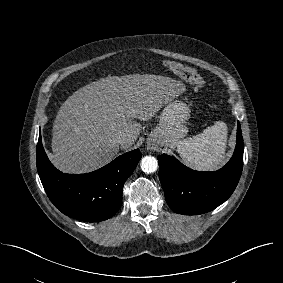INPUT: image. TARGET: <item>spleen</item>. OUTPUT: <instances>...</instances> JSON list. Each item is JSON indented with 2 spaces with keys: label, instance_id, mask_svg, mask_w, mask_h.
I'll list each match as a JSON object with an SVG mask.
<instances>
[{
  "label": "spleen",
  "instance_id": "1",
  "mask_svg": "<svg viewBox=\"0 0 283 283\" xmlns=\"http://www.w3.org/2000/svg\"><path fill=\"white\" fill-rule=\"evenodd\" d=\"M227 125L216 121L202 133L180 141L177 151L189 167L200 171H214L224 163L227 142Z\"/></svg>",
  "mask_w": 283,
  "mask_h": 283
}]
</instances>
